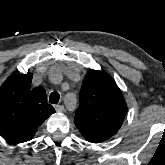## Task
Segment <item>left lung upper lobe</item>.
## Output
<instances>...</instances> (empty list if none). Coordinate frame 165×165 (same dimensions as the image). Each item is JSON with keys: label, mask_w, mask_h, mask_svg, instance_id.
Instances as JSON below:
<instances>
[{"label": "left lung upper lobe", "mask_w": 165, "mask_h": 165, "mask_svg": "<svg viewBox=\"0 0 165 165\" xmlns=\"http://www.w3.org/2000/svg\"><path fill=\"white\" fill-rule=\"evenodd\" d=\"M79 97L74 123L86 140L98 143L117 133L127 106L122 92L107 73L89 70Z\"/></svg>", "instance_id": "1"}]
</instances>
